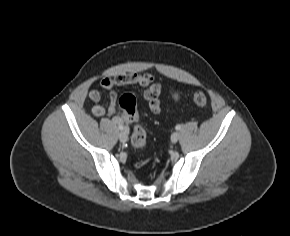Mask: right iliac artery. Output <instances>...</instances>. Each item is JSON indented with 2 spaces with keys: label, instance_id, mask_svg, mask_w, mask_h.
I'll return each mask as SVG.
<instances>
[{
  "label": "right iliac artery",
  "instance_id": "obj_1",
  "mask_svg": "<svg viewBox=\"0 0 290 236\" xmlns=\"http://www.w3.org/2000/svg\"><path fill=\"white\" fill-rule=\"evenodd\" d=\"M118 127H119V129H121V130L123 129V125L120 124V123H119Z\"/></svg>",
  "mask_w": 290,
  "mask_h": 236
}]
</instances>
